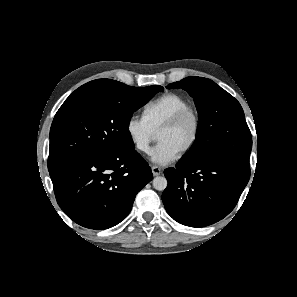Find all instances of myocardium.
Here are the masks:
<instances>
[{"mask_svg": "<svg viewBox=\"0 0 297 297\" xmlns=\"http://www.w3.org/2000/svg\"><path fill=\"white\" fill-rule=\"evenodd\" d=\"M186 118H191L193 120L194 130L190 141L179 153L180 156H185L190 153L198 142L201 132V117L198 111L192 106L183 108L173 115L167 122H165L157 131L158 135L163 131L172 130L179 126Z\"/></svg>", "mask_w": 297, "mask_h": 297, "instance_id": "1", "label": "myocardium"}]
</instances>
